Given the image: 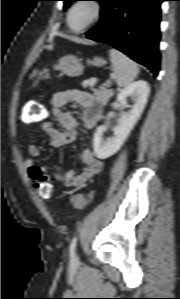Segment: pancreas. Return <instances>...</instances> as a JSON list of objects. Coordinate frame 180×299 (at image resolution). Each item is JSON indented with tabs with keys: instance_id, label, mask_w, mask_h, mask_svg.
<instances>
[{
	"instance_id": "pancreas-1",
	"label": "pancreas",
	"mask_w": 180,
	"mask_h": 299,
	"mask_svg": "<svg viewBox=\"0 0 180 299\" xmlns=\"http://www.w3.org/2000/svg\"><path fill=\"white\" fill-rule=\"evenodd\" d=\"M113 95L111 90H107L105 88H101L96 92V99L99 102L105 103L109 100V98Z\"/></svg>"
}]
</instances>
